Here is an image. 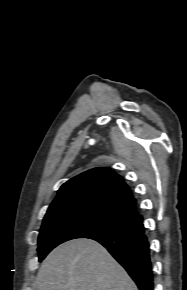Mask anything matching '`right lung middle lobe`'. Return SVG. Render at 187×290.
I'll list each match as a JSON object with an SVG mask.
<instances>
[{"label": "right lung middle lobe", "mask_w": 187, "mask_h": 290, "mask_svg": "<svg viewBox=\"0 0 187 290\" xmlns=\"http://www.w3.org/2000/svg\"><path fill=\"white\" fill-rule=\"evenodd\" d=\"M129 225H132L129 220L103 207H75L45 215L38 238L39 261L65 241L89 238Z\"/></svg>", "instance_id": "obj_1"}]
</instances>
